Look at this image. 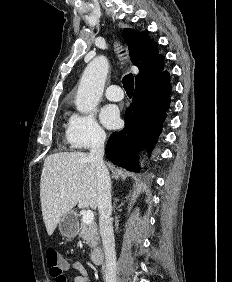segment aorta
<instances>
[{"label": "aorta", "instance_id": "762f6f07", "mask_svg": "<svg viewBox=\"0 0 232 282\" xmlns=\"http://www.w3.org/2000/svg\"><path fill=\"white\" fill-rule=\"evenodd\" d=\"M108 69L109 63L104 56L96 57L86 66L75 100L79 112L89 113L96 108L103 94Z\"/></svg>", "mask_w": 232, "mask_h": 282}]
</instances>
